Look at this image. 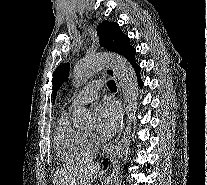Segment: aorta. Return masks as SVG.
I'll use <instances>...</instances> for the list:
<instances>
[{
    "label": "aorta",
    "mask_w": 207,
    "mask_h": 185,
    "mask_svg": "<svg viewBox=\"0 0 207 185\" xmlns=\"http://www.w3.org/2000/svg\"><path fill=\"white\" fill-rule=\"evenodd\" d=\"M105 67H110L121 87L126 113L128 114L127 126L110 157L104 185H121V171L124 162L130 154L131 124L135 118L138 107V80L131 64L123 57L116 54L101 53L87 55L79 60L73 68V84L80 87L85 84L96 72ZM74 126L81 129H90L94 125V115L84 107L77 108L73 113Z\"/></svg>",
    "instance_id": "aorta-1"
}]
</instances>
